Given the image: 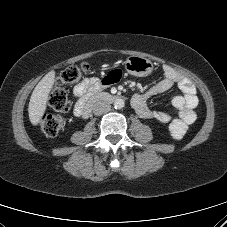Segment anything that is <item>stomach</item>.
<instances>
[{
  "instance_id": "obj_1",
  "label": "stomach",
  "mask_w": 227,
  "mask_h": 227,
  "mask_svg": "<svg viewBox=\"0 0 227 227\" xmlns=\"http://www.w3.org/2000/svg\"><path fill=\"white\" fill-rule=\"evenodd\" d=\"M153 63L144 57L132 55L125 61L126 71L136 77H145L152 73Z\"/></svg>"
}]
</instances>
